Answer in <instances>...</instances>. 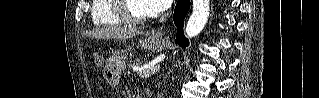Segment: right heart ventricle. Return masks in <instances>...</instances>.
Listing matches in <instances>:
<instances>
[{"instance_id": "right-heart-ventricle-1", "label": "right heart ventricle", "mask_w": 319, "mask_h": 98, "mask_svg": "<svg viewBox=\"0 0 319 98\" xmlns=\"http://www.w3.org/2000/svg\"><path fill=\"white\" fill-rule=\"evenodd\" d=\"M91 19L99 27L121 24V20L113 12L112 0H93Z\"/></svg>"}]
</instances>
